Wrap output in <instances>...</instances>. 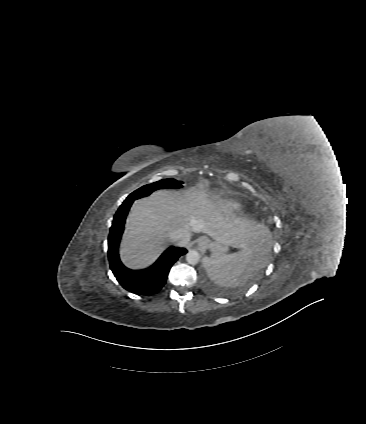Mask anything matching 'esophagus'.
<instances>
[{
    "label": "esophagus",
    "mask_w": 366,
    "mask_h": 424,
    "mask_svg": "<svg viewBox=\"0 0 366 424\" xmlns=\"http://www.w3.org/2000/svg\"><path fill=\"white\" fill-rule=\"evenodd\" d=\"M198 246L200 249H206L209 246V240L206 237H202L198 241Z\"/></svg>",
    "instance_id": "esophagus-1"
}]
</instances>
